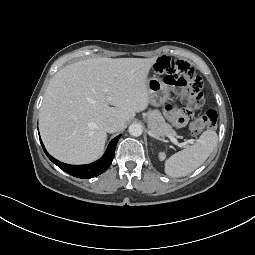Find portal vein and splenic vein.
<instances>
[{"label":"portal vein and splenic vein","mask_w":255,"mask_h":255,"mask_svg":"<svg viewBox=\"0 0 255 255\" xmlns=\"http://www.w3.org/2000/svg\"><path fill=\"white\" fill-rule=\"evenodd\" d=\"M167 137H168L175 145H178V146H180V147H183V146H184V144H183V143H179V142L177 141V139H176L174 136H172V135H167ZM195 141H196L195 139H189V140L186 141V143L194 144Z\"/></svg>","instance_id":"1"}]
</instances>
